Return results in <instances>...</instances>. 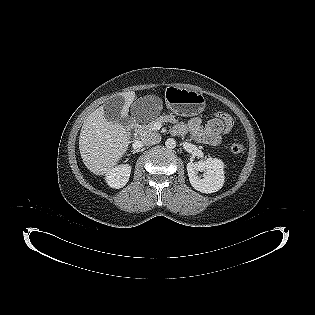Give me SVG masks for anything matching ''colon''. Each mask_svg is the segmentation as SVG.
<instances>
[{
	"instance_id": "obj_1",
	"label": "colon",
	"mask_w": 315,
	"mask_h": 315,
	"mask_svg": "<svg viewBox=\"0 0 315 315\" xmlns=\"http://www.w3.org/2000/svg\"><path fill=\"white\" fill-rule=\"evenodd\" d=\"M212 116L216 120H220L224 125L221 128V131L225 135L232 133L233 128L237 126L238 121L236 118L231 117L230 113H225L219 109L213 111ZM231 152L235 154L242 153L245 150V147L241 143H233L230 145Z\"/></svg>"
}]
</instances>
